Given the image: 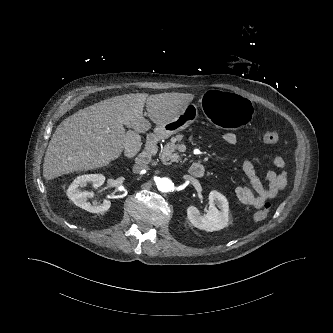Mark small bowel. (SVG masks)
<instances>
[{"label":"small bowel","mask_w":333,"mask_h":333,"mask_svg":"<svg viewBox=\"0 0 333 333\" xmlns=\"http://www.w3.org/2000/svg\"><path fill=\"white\" fill-rule=\"evenodd\" d=\"M222 139L227 145H235L237 142V137L233 132L224 133ZM273 162L279 171L267 172V184H264L257 175L253 163L249 159L243 160L242 171L248 179L250 187L238 186L235 189V196L241 203L255 208H262L267 200L274 198L284 189L287 182L285 161L281 156H276Z\"/></svg>","instance_id":"c3829d8e"}]
</instances>
